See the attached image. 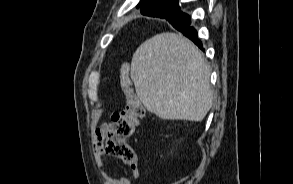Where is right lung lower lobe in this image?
I'll list each match as a JSON object with an SVG mask.
<instances>
[{"label": "right lung lower lobe", "instance_id": "right-lung-lower-lobe-1", "mask_svg": "<svg viewBox=\"0 0 293 184\" xmlns=\"http://www.w3.org/2000/svg\"><path fill=\"white\" fill-rule=\"evenodd\" d=\"M169 23L176 28L177 30L181 31L186 37L192 40L199 48L202 49V43L197 38V31L190 27V17L187 14L182 13L181 11L178 12L173 17L167 19Z\"/></svg>", "mask_w": 293, "mask_h": 184}]
</instances>
